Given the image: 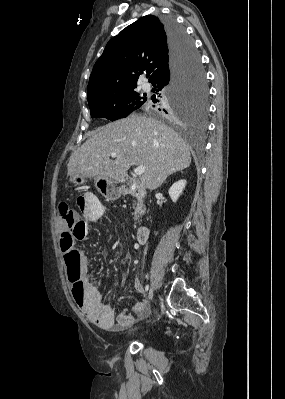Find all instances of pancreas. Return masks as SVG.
I'll return each mask as SVG.
<instances>
[{
	"label": "pancreas",
	"instance_id": "obj_1",
	"mask_svg": "<svg viewBox=\"0 0 285 399\" xmlns=\"http://www.w3.org/2000/svg\"><path fill=\"white\" fill-rule=\"evenodd\" d=\"M133 207H134V210H135L134 211V219L137 220V219H139V215H140V213L142 211L143 202L140 199H138L137 202L135 201V204L133 205Z\"/></svg>",
	"mask_w": 285,
	"mask_h": 399
}]
</instances>
